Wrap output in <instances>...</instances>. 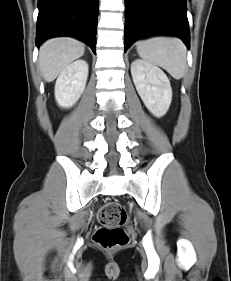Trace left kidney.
<instances>
[{
	"mask_svg": "<svg viewBox=\"0 0 231 281\" xmlns=\"http://www.w3.org/2000/svg\"><path fill=\"white\" fill-rule=\"evenodd\" d=\"M136 90L147 109L155 116H164L172 101V89L166 74L157 66L137 59L131 64Z\"/></svg>",
	"mask_w": 231,
	"mask_h": 281,
	"instance_id": "1",
	"label": "left kidney"
}]
</instances>
